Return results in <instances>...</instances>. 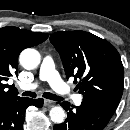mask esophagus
Returning a JSON list of instances; mask_svg holds the SVG:
<instances>
[{
	"label": "esophagus",
	"mask_w": 130,
	"mask_h": 130,
	"mask_svg": "<svg viewBox=\"0 0 130 130\" xmlns=\"http://www.w3.org/2000/svg\"><path fill=\"white\" fill-rule=\"evenodd\" d=\"M55 102L54 101H51V100H48V99H45L44 100V106L48 107V108H51V107H54L55 106Z\"/></svg>",
	"instance_id": "esophagus-1"
}]
</instances>
